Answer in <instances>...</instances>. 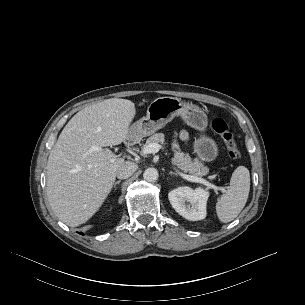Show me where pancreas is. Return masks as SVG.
Segmentation results:
<instances>
[{
  "label": "pancreas",
  "instance_id": "1",
  "mask_svg": "<svg viewBox=\"0 0 305 305\" xmlns=\"http://www.w3.org/2000/svg\"><path fill=\"white\" fill-rule=\"evenodd\" d=\"M151 143H165V135L163 133H155L146 140L142 149ZM174 165L180 168L183 172L189 173L195 177H202L208 174L209 169L197 158L193 159L188 153H183L180 150L174 151V158L172 159Z\"/></svg>",
  "mask_w": 305,
  "mask_h": 305
}]
</instances>
